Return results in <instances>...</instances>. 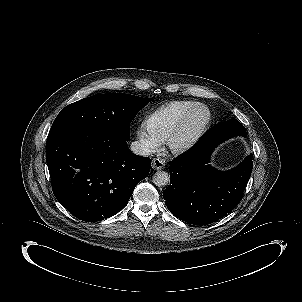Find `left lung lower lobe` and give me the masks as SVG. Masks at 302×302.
<instances>
[{
  "instance_id": "obj_1",
  "label": "left lung lower lobe",
  "mask_w": 302,
  "mask_h": 302,
  "mask_svg": "<svg viewBox=\"0 0 302 302\" xmlns=\"http://www.w3.org/2000/svg\"><path fill=\"white\" fill-rule=\"evenodd\" d=\"M219 143L209 131L170 165V185L163 191L165 204L185 222L213 223L233 210L242 198L252 172V155L232 170H215L208 162Z\"/></svg>"
}]
</instances>
